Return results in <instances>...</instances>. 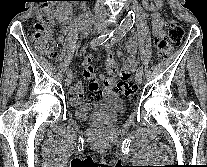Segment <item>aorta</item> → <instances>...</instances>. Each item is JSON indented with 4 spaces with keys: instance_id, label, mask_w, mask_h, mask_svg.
I'll return each instance as SVG.
<instances>
[{
    "instance_id": "aorta-1",
    "label": "aorta",
    "mask_w": 207,
    "mask_h": 167,
    "mask_svg": "<svg viewBox=\"0 0 207 167\" xmlns=\"http://www.w3.org/2000/svg\"><path fill=\"white\" fill-rule=\"evenodd\" d=\"M134 23V16L133 14H128V16L122 21L118 29L116 30L117 33L123 34L126 33Z\"/></svg>"
}]
</instances>
